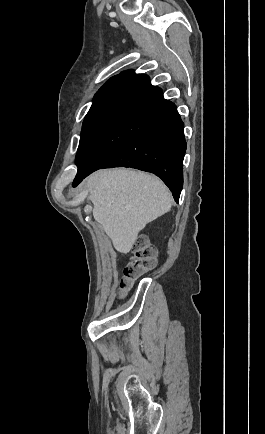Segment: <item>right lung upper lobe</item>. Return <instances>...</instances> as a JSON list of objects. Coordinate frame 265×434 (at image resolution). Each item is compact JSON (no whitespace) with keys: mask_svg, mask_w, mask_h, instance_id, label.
Segmentation results:
<instances>
[{"mask_svg":"<svg viewBox=\"0 0 265 434\" xmlns=\"http://www.w3.org/2000/svg\"><path fill=\"white\" fill-rule=\"evenodd\" d=\"M135 75L136 74L133 72V70H128V71H125V72H123L121 74H118V75H116L114 77H119V76H132V77H134Z\"/></svg>","mask_w":265,"mask_h":434,"instance_id":"right-lung-upper-lobe-1","label":"right lung upper lobe"}]
</instances>
